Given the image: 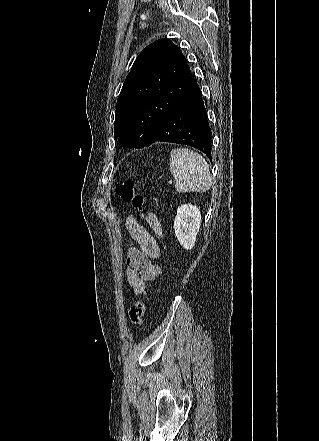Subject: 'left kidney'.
Listing matches in <instances>:
<instances>
[{"label": "left kidney", "instance_id": "5707ae66", "mask_svg": "<svg viewBox=\"0 0 319 441\" xmlns=\"http://www.w3.org/2000/svg\"><path fill=\"white\" fill-rule=\"evenodd\" d=\"M201 224L200 210L192 204H183L178 207L174 220V230L181 246L191 250L196 242V236Z\"/></svg>", "mask_w": 319, "mask_h": 441}]
</instances>
